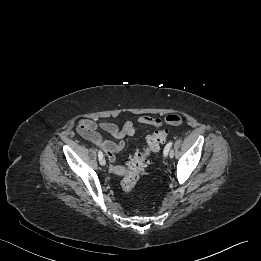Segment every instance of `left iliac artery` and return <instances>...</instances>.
I'll return each mask as SVG.
<instances>
[{
	"mask_svg": "<svg viewBox=\"0 0 261 261\" xmlns=\"http://www.w3.org/2000/svg\"><path fill=\"white\" fill-rule=\"evenodd\" d=\"M172 144H173L172 141H170L169 143H167V145L165 146L164 151H163L164 156H166V155L168 154V152H169V150H170Z\"/></svg>",
	"mask_w": 261,
	"mask_h": 261,
	"instance_id": "obj_1",
	"label": "left iliac artery"
}]
</instances>
